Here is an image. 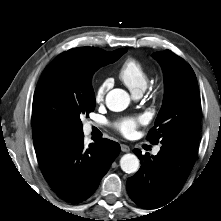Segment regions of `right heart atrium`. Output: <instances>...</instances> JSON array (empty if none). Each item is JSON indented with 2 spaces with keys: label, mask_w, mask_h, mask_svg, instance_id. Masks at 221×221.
I'll return each instance as SVG.
<instances>
[{
  "label": "right heart atrium",
  "mask_w": 221,
  "mask_h": 221,
  "mask_svg": "<svg viewBox=\"0 0 221 221\" xmlns=\"http://www.w3.org/2000/svg\"><path fill=\"white\" fill-rule=\"evenodd\" d=\"M111 85H112V80L107 78L97 86L94 94L96 102H102L104 100L105 95L109 90V88L111 87Z\"/></svg>",
  "instance_id": "right-heart-atrium-1"
}]
</instances>
